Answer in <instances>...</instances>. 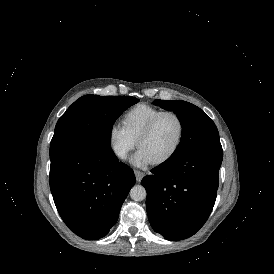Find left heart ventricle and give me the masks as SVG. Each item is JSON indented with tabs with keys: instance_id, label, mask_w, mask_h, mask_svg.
<instances>
[{
	"instance_id": "1",
	"label": "left heart ventricle",
	"mask_w": 274,
	"mask_h": 274,
	"mask_svg": "<svg viewBox=\"0 0 274 274\" xmlns=\"http://www.w3.org/2000/svg\"><path fill=\"white\" fill-rule=\"evenodd\" d=\"M179 130L177 119L172 115L163 116L153 131L138 145L145 152L150 162L165 157L172 149Z\"/></svg>"
}]
</instances>
